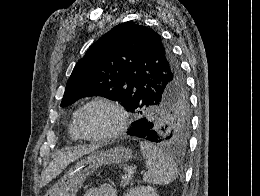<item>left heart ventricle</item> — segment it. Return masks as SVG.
Instances as JSON below:
<instances>
[{"label": "left heart ventricle", "mask_w": 260, "mask_h": 196, "mask_svg": "<svg viewBox=\"0 0 260 196\" xmlns=\"http://www.w3.org/2000/svg\"><path fill=\"white\" fill-rule=\"evenodd\" d=\"M79 123L86 135L100 136L115 129L119 118L116 111L109 105L94 103L81 113Z\"/></svg>", "instance_id": "left-heart-ventricle-1"}]
</instances>
